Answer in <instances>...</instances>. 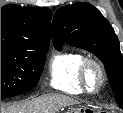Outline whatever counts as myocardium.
<instances>
[{"instance_id": "1", "label": "myocardium", "mask_w": 123, "mask_h": 113, "mask_svg": "<svg viewBox=\"0 0 123 113\" xmlns=\"http://www.w3.org/2000/svg\"><path fill=\"white\" fill-rule=\"evenodd\" d=\"M92 69L97 71L99 77L98 84L94 88L90 86L89 82V75ZM79 80L82 88L86 90L88 93L99 92L106 81L105 71L102 64L95 58H84L79 68Z\"/></svg>"}]
</instances>
